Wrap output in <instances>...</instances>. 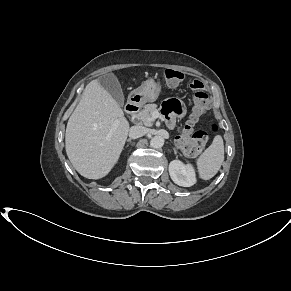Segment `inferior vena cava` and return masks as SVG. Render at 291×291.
<instances>
[{
    "label": "inferior vena cava",
    "mask_w": 291,
    "mask_h": 291,
    "mask_svg": "<svg viewBox=\"0 0 291 291\" xmlns=\"http://www.w3.org/2000/svg\"><path fill=\"white\" fill-rule=\"evenodd\" d=\"M147 134V128L143 126H133L130 128L129 137L130 138H140Z\"/></svg>",
    "instance_id": "obj_1"
}]
</instances>
